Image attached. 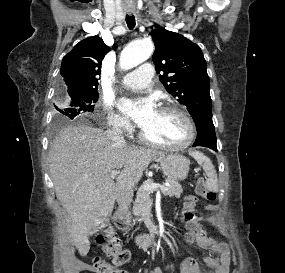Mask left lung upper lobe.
I'll return each instance as SVG.
<instances>
[{"mask_svg": "<svg viewBox=\"0 0 285 273\" xmlns=\"http://www.w3.org/2000/svg\"><path fill=\"white\" fill-rule=\"evenodd\" d=\"M155 52L153 63L160 81L194 119L212 115L209 77L200 47L183 35L156 25L151 32Z\"/></svg>", "mask_w": 285, "mask_h": 273, "instance_id": "obj_1", "label": "left lung upper lobe"}]
</instances>
